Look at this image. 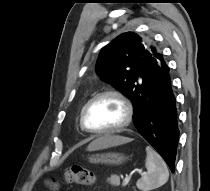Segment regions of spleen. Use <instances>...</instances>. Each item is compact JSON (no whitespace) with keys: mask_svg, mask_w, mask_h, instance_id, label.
<instances>
[{"mask_svg":"<svg viewBox=\"0 0 210 191\" xmlns=\"http://www.w3.org/2000/svg\"><path fill=\"white\" fill-rule=\"evenodd\" d=\"M146 154L147 172L136 183L142 191L154 190L164 185L169 178L168 168L162 157L150 146L146 147Z\"/></svg>","mask_w":210,"mask_h":191,"instance_id":"spleen-1","label":"spleen"}]
</instances>
